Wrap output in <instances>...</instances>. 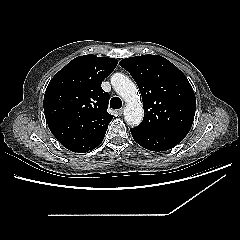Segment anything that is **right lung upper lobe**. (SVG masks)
<instances>
[{"instance_id":"cb5924a9","label":"right lung upper lobe","mask_w":240,"mask_h":240,"mask_svg":"<svg viewBox=\"0 0 240 240\" xmlns=\"http://www.w3.org/2000/svg\"><path fill=\"white\" fill-rule=\"evenodd\" d=\"M114 58L79 56L51 79L44 95V112L55 138L72 152L85 153L104 139L113 116L102 81L115 69Z\"/></svg>"}]
</instances>
